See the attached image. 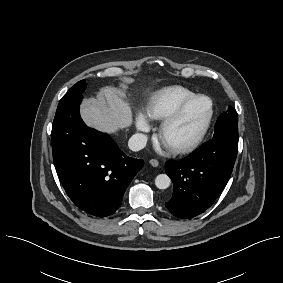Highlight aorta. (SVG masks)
Instances as JSON below:
<instances>
[{"instance_id":"762f6f07","label":"aorta","mask_w":283,"mask_h":283,"mask_svg":"<svg viewBox=\"0 0 283 283\" xmlns=\"http://www.w3.org/2000/svg\"><path fill=\"white\" fill-rule=\"evenodd\" d=\"M171 179L166 174H159L155 178V185L158 189H167L170 186Z\"/></svg>"}]
</instances>
